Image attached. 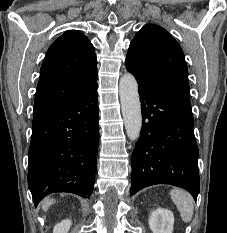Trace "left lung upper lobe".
Wrapping results in <instances>:
<instances>
[{"instance_id":"1","label":"left lung upper lobe","mask_w":227,"mask_h":233,"mask_svg":"<svg viewBox=\"0 0 227 233\" xmlns=\"http://www.w3.org/2000/svg\"><path fill=\"white\" fill-rule=\"evenodd\" d=\"M126 68L139 85L190 105L183 51L162 27L155 24L142 27L129 46Z\"/></svg>"}]
</instances>
